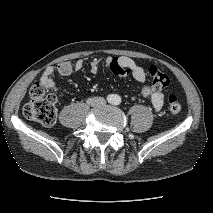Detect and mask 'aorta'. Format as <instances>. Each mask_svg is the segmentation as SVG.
<instances>
[{
	"label": "aorta",
	"mask_w": 213,
	"mask_h": 213,
	"mask_svg": "<svg viewBox=\"0 0 213 213\" xmlns=\"http://www.w3.org/2000/svg\"><path fill=\"white\" fill-rule=\"evenodd\" d=\"M110 102L114 105H118L121 102V97L117 94H113L110 97Z\"/></svg>",
	"instance_id": "762f6f07"
}]
</instances>
